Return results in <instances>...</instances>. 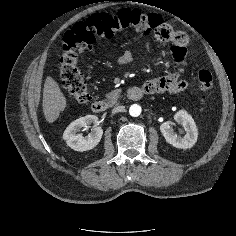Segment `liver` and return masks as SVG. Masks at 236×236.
I'll use <instances>...</instances> for the list:
<instances>
[{"label":"liver","mask_w":236,"mask_h":236,"mask_svg":"<svg viewBox=\"0 0 236 236\" xmlns=\"http://www.w3.org/2000/svg\"><path fill=\"white\" fill-rule=\"evenodd\" d=\"M42 102L44 116L48 123H53L67 106L66 98L58 83L50 76L44 83Z\"/></svg>","instance_id":"6515ba94"}]
</instances>
